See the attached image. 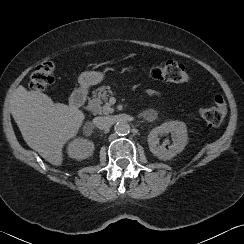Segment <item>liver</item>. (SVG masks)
Masks as SVG:
<instances>
[{"mask_svg": "<svg viewBox=\"0 0 244 244\" xmlns=\"http://www.w3.org/2000/svg\"><path fill=\"white\" fill-rule=\"evenodd\" d=\"M11 113L27 145L54 166L62 164L64 144L77 135L85 119L76 107L54 103L23 86L11 100Z\"/></svg>", "mask_w": 244, "mask_h": 244, "instance_id": "liver-1", "label": "liver"}]
</instances>
